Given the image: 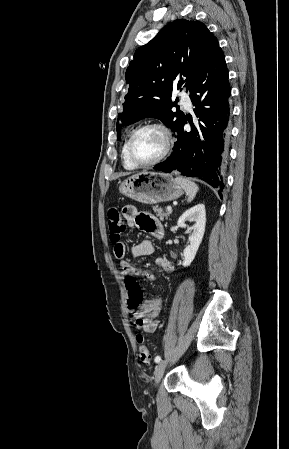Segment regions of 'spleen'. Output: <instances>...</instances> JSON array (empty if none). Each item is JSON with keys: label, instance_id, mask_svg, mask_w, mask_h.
<instances>
[{"label": "spleen", "instance_id": "spleen-1", "mask_svg": "<svg viewBox=\"0 0 289 449\" xmlns=\"http://www.w3.org/2000/svg\"><path fill=\"white\" fill-rule=\"evenodd\" d=\"M175 181L184 189V191L186 192L188 199L187 202H191L198 190L199 187L196 183L192 182L191 180L187 179V178H183V177H176Z\"/></svg>", "mask_w": 289, "mask_h": 449}]
</instances>
